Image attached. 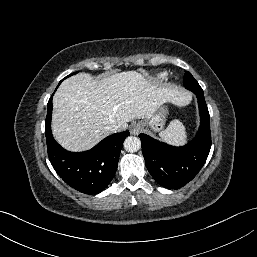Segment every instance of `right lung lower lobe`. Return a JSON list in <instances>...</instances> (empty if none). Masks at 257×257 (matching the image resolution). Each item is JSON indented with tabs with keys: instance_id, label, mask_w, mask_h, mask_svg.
Segmentation results:
<instances>
[{
	"instance_id": "1",
	"label": "right lung lower lobe",
	"mask_w": 257,
	"mask_h": 257,
	"mask_svg": "<svg viewBox=\"0 0 257 257\" xmlns=\"http://www.w3.org/2000/svg\"><path fill=\"white\" fill-rule=\"evenodd\" d=\"M52 97L47 104L45 135L50 162L57 174L69 186L85 194H98L113 179L123 142L129 131L112 134L84 152L62 148L51 132Z\"/></svg>"
}]
</instances>
